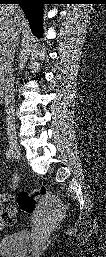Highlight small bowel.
<instances>
[{"label":"small bowel","instance_id":"obj_1","mask_svg":"<svg viewBox=\"0 0 106 257\" xmlns=\"http://www.w3.org/2000/svg\"><path fill=\"white\" fill-rule=\"evenodd\" d=\"M19 180L18 175L14 174L11 187L14 188ZM0 221L2 225L13 224L15 222V210L11 202L10 195H1L0 200Z\"/></svg>","mask_w":106,"mask_h":257}]
</instances>
